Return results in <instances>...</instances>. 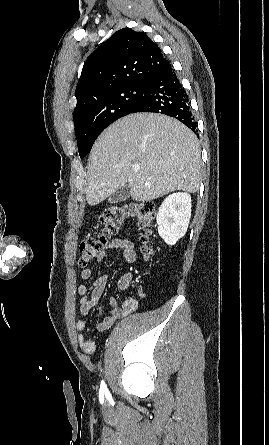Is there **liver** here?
<instances>
[{
    "instance_id": "1",
    "label": "liver",
    "mask_w": 269,
    "mask_h": 445,
    "mask_svg": "<svg viewBox=\"0 0 269 445\" xmlns=\"http://www.w3.org/2000/svg\"><path fill=\"white\" fill-rule=\"evenodd\" d=\"M89 160L86 201L91 206L126 184L132 199L142 202L175 190L195 193L200 186L197 137L162 114L135 113L117 120L98 137Z\"/></svg>"
}]
</instances>
